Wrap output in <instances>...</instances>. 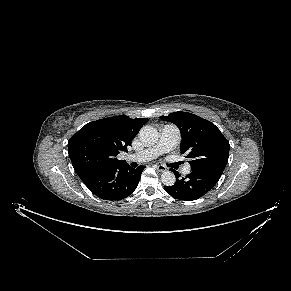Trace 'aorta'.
<instances>
[{"instance_id":"1","label":"aorta","mask_w":291,"mask_h":291,"mask_svg":"<svg viewBox=\"0 0 291 291\" xmlns=\"http://www.w3.org/2000/svg\"><path fill=\"white\" fill-rule=\"evenodd\" d=\"M139 138L143 143L153 145L157 143L159 139V133L153 126L146 125L141 128L139 132ZM161 181L166 186H172L176 182V176L171 171H164L161 174Z\"/></svg>"}]
</instances>
